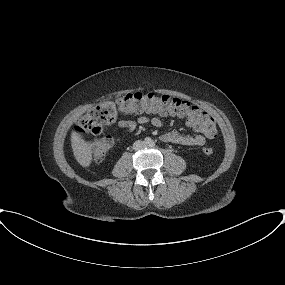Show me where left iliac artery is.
<instances>
[{"instance_id": "obj_1", "label": "left iliac artery", "mask_w": 285, "mask_h": 285, "mask_svg": "<svg viewBox=\"0 0 285 285\" xmlns=\"http://www.w3.org/2000/svg\"><path fill=\"white\" fill-rule=\"evenodd\" d=\"M150 146H152V147L155 146V143H154V142H151Z\"/></svg>"}]
</instances>
